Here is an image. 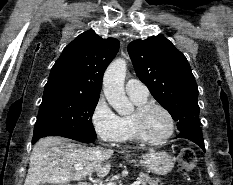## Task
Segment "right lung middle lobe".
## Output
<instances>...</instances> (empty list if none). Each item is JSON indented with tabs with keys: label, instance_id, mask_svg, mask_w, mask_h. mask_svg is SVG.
<instances>
[{
	"label": "right lung middle lobe",
	"instance_id": "right-lung-middle-lobe-1",
	"mask_svg": "<svg viewBox=\"0 0 233 185\" xmlns=\"http://www.w3.org/2000/svg\"><path fill=\"white\" fill-rule=\"evenodd\" d=\"M99 96H84L61 91L44 92L34 128L32 143L58 135L67 138H97L92 115Z\"/></svg>",
	"mask_w": 233,
	"mask_h": 185
}]
</instances>
